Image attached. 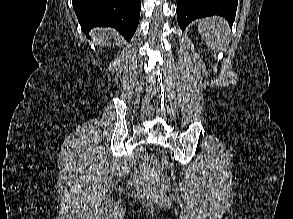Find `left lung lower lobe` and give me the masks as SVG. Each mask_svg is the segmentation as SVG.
Wrapping results in <instances>:
<instances>
[{"instance_id":"obj_1","label":"left lung lower lobe","mask_w":293,"mask_h":219,"mask_svg":"<svg viewBox=\"0 0 293 219\" xmlns=\"http://www.w3.org/2000/svg\"><path fill=\"white\" fill-rule=\"evenodd\" d=\"M238 0H178L177 20L179 26H186L197 18L220 15L233 24Z\"/></svg>"}]
</instances>
